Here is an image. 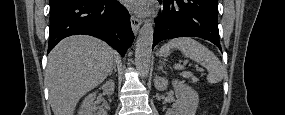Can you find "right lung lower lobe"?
Segmentation results:
<instances>
[{"label":"right lung lower lobe","instance_id":"1","mask_svg":"<svg viewBox=\"0 0 285 115\" xmlns=\"http://www.w3.org/2000/svg\"><path fill=\"white\" fill-rule=\"evenodd\" d=\"M100 38L124 55L134 34L128 11L117 0H55L50 3L48 53L65 37Z\"/></svg>","mask_w":285,"mask_h":115}]
</instances>
